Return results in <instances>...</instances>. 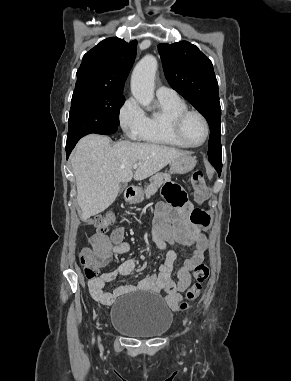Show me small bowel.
<instances>
[{
	"instance_id": "1",
	"label": "small bowel",
	"mask_w": 291,
	"mask_h": 381,
	"mask_svg": "<svg viewBox=\"0 0 291 381\" xmlns=\"http://www.w3.org/2000/svg\"><path fill=\"white\" fill-rule=\"evenodd\" d=\"M165 194L169 203H159L154 214V227L152 240L159 250L166 251V257L159 267L157 274L142 279L136 285H121L112 292L104 290V286L119 276H125L133 272L135 260H125L118 269L104 272L99 276L88 280V288L91 297L102 305H111L116 297L132 291H150L156 294L165 293V302L172 310H177L182 299V293L187 290L191 283V272L196 265L204 260L208 248L207 238L192 229L189 223L191 205L185 200L181 189L169 187ZM182 199L178 205L171 202L170 197ZM124 228H115L110 235L93 234L88 237V244L93 250L105 251L121 255L130 250V243L124 239ZM170 245L193 246L192 254L185 259L178 270V281L171 277L173 264L177 253L168 249Z\"/></svg>"
}]
</instances>
